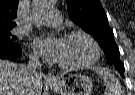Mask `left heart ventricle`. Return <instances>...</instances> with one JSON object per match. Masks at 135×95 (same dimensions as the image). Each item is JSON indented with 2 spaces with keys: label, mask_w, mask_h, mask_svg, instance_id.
I'll return each mask as SVG.
<instances>
[{
  "label": "left heart ventricle",
  "mask_w": 135,
  "mask_h": 95,
  "mask_svg": "<svg viewBox=\"0 0 135 95\" xmlns=\"http://www.w3.org/2000/svg\"><path fill=\"white\" fill-rule=\"evenodd\" d=\"M50 30H55L52 25L47 26ZM93 56V49L87 39L81 36L64 38L62 54L59 62L64 64H81Z\"/></svg>",
  "instance_id": "obj_1"
}]
</instances>
